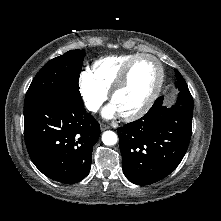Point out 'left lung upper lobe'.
I'll return each instance as SVG.
<instances>
[{
  "label": "left lung upper lobe",
  "instance_id": "1",
  "mask_svg": "<svg viewBox=\"0 0 221 221\" xmlns=\"http://www.w3.org/2000/svg\"><path fill=\"white\" fill-rule=\"evenodd\" d=\"M176 78H177V81H176V86H184V87H188L184 78L182 77V75L179 73L178 70H176Z\"/></svg>",
  "mask_w": 221,
  "mask_h": 221
}]
</instances>
